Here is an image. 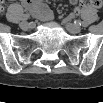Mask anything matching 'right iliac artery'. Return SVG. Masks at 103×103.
I'll list each match as a JSON object with an SVG mask.
<instances>
[{
	"label": "right iliac artery",
	"instance_id": "82829eb1",
	"mask_svg": "<svg viewBox=\"0 0 103 103\" xmlns=\"http://www.w3.org/2000/svg\"><path fill=\"white\" fill-rule=\"evenodd\" d=\"M30 18V15L29 14H24L22 16V20H28Z\"/></svg>",
	"mask_w": 103,
	"mask_h": 103
}]
</instances>
